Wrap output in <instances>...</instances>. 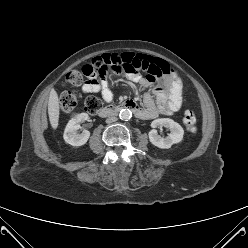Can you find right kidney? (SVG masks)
Returning <instances> with one entry per match:
<instances>
[{
    "instance_id": "ca27d5eb",
    "label": "right kidney",
    "mask_w": 248,
    "mask_h": 248,
    "mask_svg": "<svg viewBox=\"0 0 248 248\" xmlns=\"http://www.w3.org/2000/svg\"><path fill=\"white\" fill-rule=\"evenodd\" d=\"M87 120H89V115L87 113L76 114L69 120L63 135L66 143L72 146H82L88 141L90 137V132L88 130H84L81 134H77V130L80 129V122Z\"/></svg>"
}]
</instances>
